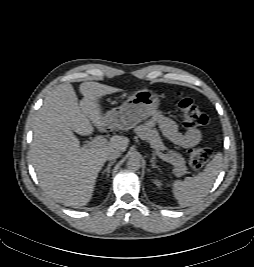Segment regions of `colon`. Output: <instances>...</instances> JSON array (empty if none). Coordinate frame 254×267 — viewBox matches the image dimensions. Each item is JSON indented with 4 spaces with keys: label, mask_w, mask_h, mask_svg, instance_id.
Instances as JSON below:
<instances>
[{
    "label": "colon",
    "mask_w": 254,
    "mask_h": 267,
    "mask_svg": "<svg viewBox=\"0 0 254 267\" xmlns=\"http://www.w3.org/2000/svg\"><path fill=\"white\" fill-rule=\"evenodd\" d=\"M176 105L182 115L185 127H201L208 123V116L201 111L189 97L181 93L177 94ZM212 155V150L207 147H194L188 152L189 163L192 168L200 169L208 163V161L212 158Z\"/></svg>",
    "instance_id": "colon-1"
}]
</instances>
